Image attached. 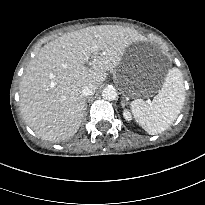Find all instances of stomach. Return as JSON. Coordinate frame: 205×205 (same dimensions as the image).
<instances>
[{
	"label": "stomach",
	"instance_id": "stomach-1",
	"mask_svg": "<svg viewBox=\"0 0 205 205\" xmlns=\"http://www.w3.org/2000/svg\"><path fill=\"white\" fill-rule=\"evenodd\" d=\"M137 61L126 53L114 72V79L121 90L130 97H146L155 91L151 83L142 80Z\"/></svg>",
	"mask_w": 205,
	"mask_h": 205
}]
</instances>
